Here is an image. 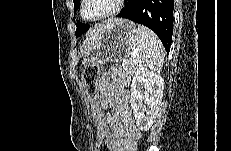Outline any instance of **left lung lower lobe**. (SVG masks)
Wrapping results in <instances>:
<instances>
[{"instance_id":"1","label":"left lung lower lobe","mask_w":231,"mask_h":151,"mask_svg":"<svg viewBox=\"0 0 231 151\" xmlns=\"http://www.w3.org/2000/svg\"><path fill=\"white\" fill-rule=\"evenodd\" d=\"M173 8V0H135L130 7H124L117 17L153 30L169 52L173 34Z\"/></svg>"}]
</instances>
